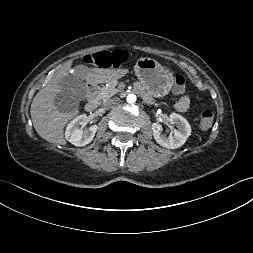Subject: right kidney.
Returning a JSON list of instances; mask_svg holds the SVG:
<instances>
[{
  "label": "right kidney",
  "mask_w": 253,
  "mask_h": 253,
  "mask_svg": "<svg viewBox=\"0 0 253 253\" xmlns=\"http://www.w3.org/2000/svg\"><path fill=\"white\" fill-rule=\"evenodd\" d=\"M87 124V116L82 114L74 118L67 126L65 138L75 146L81 147L89 144L98 129L97 125L89 127L88 131L83 132V127Z\"/></svg>",
  "instance_id": "1"
}]
</instances>
